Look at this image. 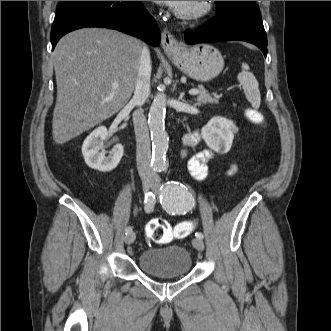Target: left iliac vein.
<instances>
[{"label": "left iliac vein", "mask_w": 331, "mask_h": 331, "mask_svg": "<svg viewBox=\"0 0 331 331\" xmlns=\"http://www.w3.org/2000/svg\"><path fill=\"white\" fill-rule=\"evenodd\" d=\"M160 186H161V183H160L159 178L153 179L152 186H151L152 190L154 192H158L160 190ZM192 245L198 251H203L204 250V243H203L202 239H200V238H197V237L194 238L192 240Z\"/></svg>", "instance_id": "4c4485c4"}]
</instances>
